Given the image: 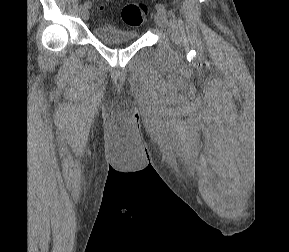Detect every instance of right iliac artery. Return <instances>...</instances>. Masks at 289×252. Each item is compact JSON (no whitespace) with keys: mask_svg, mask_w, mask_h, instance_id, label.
Instances as JSON below:
<instances>
[{"mask_svg":"<svg viewBox=\"0 0 289 252\" xmlns=\"http://www.w3.org/2000/svg\"><path fill=\"white\" fill-rule=\"evenodd\" d=\"M84 7L90 8V7H91V3H90V2H85V3H84Z\"/></svg>","mask_w":289,"mask_h":252,"instance_id":"right-iliac-artery-1","label":"right iliac artery"}]
</instances>
